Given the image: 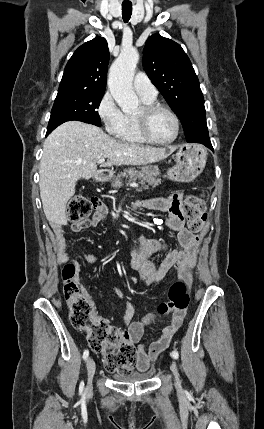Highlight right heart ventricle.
I'll return each instance as SVG.
<instances>
[{
	"instance_id": "e07e8e85",
	"label": "right heart ventricle",
	"mask_w": 264,
	"mask_h": 429,
	"mask_svg": "<svg viewBox=\"0 0 264 429\" xmlns=\"http://www.w3.org/2000/svg\"><path fill=\"white\" fill-rule=\"evenodd\" d=\"M144 104L152 103L154 100L145 99L141 97ZM117 138L122 142L130 143V144H144L146 141L141 136L136 117L133 115H126V120L123 129L117 135Z\"/></svg>"
}]
</instances>
